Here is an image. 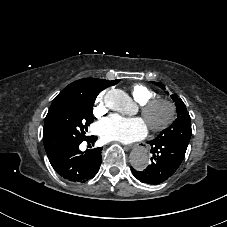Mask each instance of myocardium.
<instances>
[{"instance_id": "obj_1", "label": "myocardium", "mask_w": 227, "mask_h": 227, "mask_svg": "<svg viewBox=\"0 0 227 227\" xmlns=\"http://www.w3.org/2000/svg\"><path fill=\"white\" fill-rule=\"evenodd\" d=\"M159 105L166 106L168 113L166 118L161 123L149 124V127L153 131H163L169 128L176 120L178 114L177 106L172 100L161 97H154L141 105L140 111L143 118L145 119L148 114Z\"/></svg>"}]
</instances>
